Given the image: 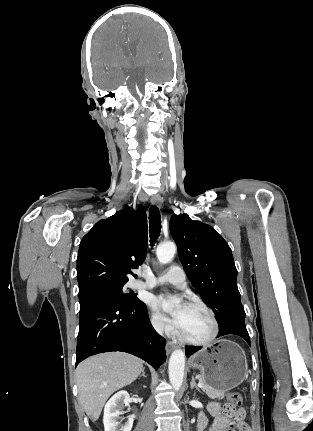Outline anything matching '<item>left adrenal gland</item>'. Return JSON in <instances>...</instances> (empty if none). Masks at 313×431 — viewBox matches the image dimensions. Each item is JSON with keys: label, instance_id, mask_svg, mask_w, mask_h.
Masks as SVG:
<instances>
[{"label": "left adrenal gland", "instance_id": "1", "mask_svg": "<svg viewBox=\"0 0 313 431\" xmlns=\"http://www.w3.org/2000/svg\"><path fill=\"white\" fill-rule=\"evenodd\" d=\"M190 387H191V389H196L198 392H200V389L197 387V384H196V382H195V378H194V376H192V380H191V383H190Z\"/></svg>", "mask_w": 313, "mask_h": 431}]
</instances>
